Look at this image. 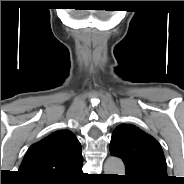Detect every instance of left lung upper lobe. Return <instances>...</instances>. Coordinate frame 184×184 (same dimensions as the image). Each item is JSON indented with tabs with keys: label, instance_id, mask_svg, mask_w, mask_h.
Instances as JSON below:
<instances>
[{
	"label": "left lung upper lobe",
	"instance_id": "obj_1",
	"mask_svg": "<svg viewBox=\"0 0 184 184\" xmlns=\"http://www.w3.org/2000/svg\"><path fill=\"white\" fill-rule=\"evenodd\" d=\"M111 155L126 167L125 179L138 184H165L169 177L158 141L132 124H120L112 134Z\"/></svg>",
	"mask_w": 184,
	"mask_h": 184
}]
</instances>
